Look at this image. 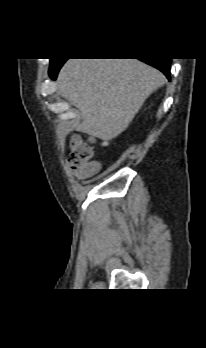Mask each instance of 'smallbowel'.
Instances as JSON below:
<instances>
[{"label":"small bowel","instance_id":"1","mask_svg":"<svg viewBox=\"0 0 206 348\" xmlns=\"http://www.w3.org/2000/svg\"><path fill=\"white\" fill-rule=\"evenodd\" d=\"M102 170V164L98 161L88 162L79 167H70V171L78 180H86L98 175Z\"/></svg>","mask_w":206,"mask_h":348}]
</instances>
